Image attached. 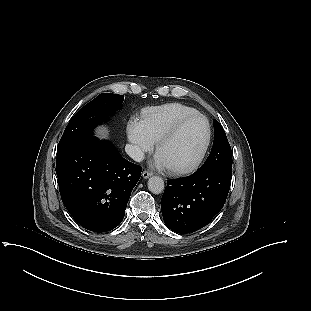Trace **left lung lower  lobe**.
I'll use <instances>...</instances> for the list:
<instances>
[{
  "instance_id": "0a47b994",
  "label": "left lung lower lobe",
  "mask_w": 311,
  "mask_h": 311,
  "mask_svg": "<svg viewBox=\"0 0 311 311\" xmlns=\"http://www.w3.org/2000/svg\"><path fill=\"white\" fill-rule=\"evenodd\" d=\"M231 170L212 166L192 175L167 180L161 200L165 224L177 233L194 232L220 212L231 184Z\"/></svg>"
}]
</instances>
